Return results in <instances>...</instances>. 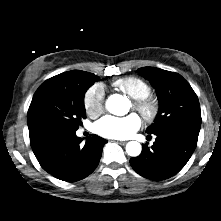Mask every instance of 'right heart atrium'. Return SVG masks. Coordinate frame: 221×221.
Returning a JSON list of instances; mask_svg holds the SVG:
<instances>
[{
    "instance_id": "d8ad5b80",
    "label": "right heart atrium",
    "mask_w": 221,
    "mask_h": 221,
    "mask_svg": "<svg viewBox=\"0 0 221 221\" xmlns=\"http://www.w3.org/2000/svg\"><path fill=\"white\" fill-rule=\"evenodd\" d=\"M83 104L90 117H97L103 112L104 89L101 84H94L86 91Z\"/></svg>"
}]
</instances>
